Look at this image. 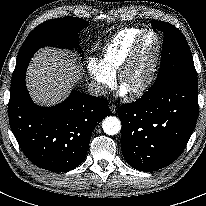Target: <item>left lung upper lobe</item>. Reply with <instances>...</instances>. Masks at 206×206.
<instances>
[{
    "label": "left lung upper lobe",
    "mask_w": 206,
    "mask_h": 206,
    "mask_svg": "<svg viewBox=\"0 0 206 206\" xmlns=\"http://www.w3.org/2000/svg\"><path fill=\"white\" fill-rule=\"evenodd\" d=\"M152 26L164 33L161 66L149 92L176 80L197 81L193 57L184 35L172 24L152 20Z\"/></svg>",
    "instance_id": "5c2ea615"
}]
</instances>
